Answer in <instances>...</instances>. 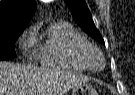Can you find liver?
Returning <instances> with one entry per match:
<instances>
[{
	"mask_svg": "<svg viewBox=\"0 0 135 95\" xmlns=\"http://www.w3.org/2000/svg\"><path fill=\"white\" fill-rule=\"evenodd\" d=\"M88 80L68 71L0 62V95H63Z\"/></svg>",
	"mask_w": 135,
	"mask_h": 95,
	"instance_id": "liver-1",
	"label": "liver"
}]
</instances>
